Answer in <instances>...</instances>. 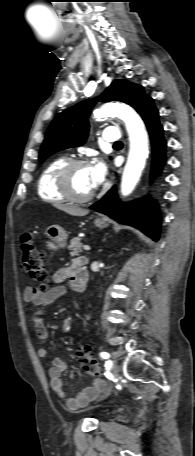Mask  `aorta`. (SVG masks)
<instances>
[{
	"instance_id": "obj_1",
	"label": "aorta",
	"mask_w": 195,
	"mask_h": 456,
	"mask_svg": "<svg viewBox=\"0 0 195 456\" xmlns=\"http://www.w3.org/2000/svg\"><path fill=\"white\" fill-rule=\"evenodd\" d=\"M94 116H116L126 125L130 149L122 175L121 192L128 195L138 183L148 157V135L144 123L131 107L122 103H106L94 112Z\"/></svg>"
}]
</instances>
